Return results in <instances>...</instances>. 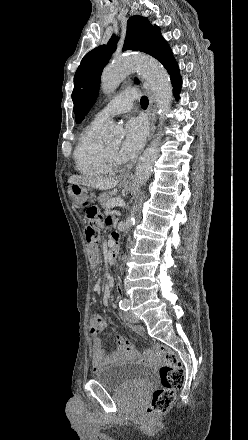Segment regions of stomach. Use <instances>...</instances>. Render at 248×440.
I'll use <instances>...</instances> for the list:
<instances>
[{"instance_id":"0dacf381","label":"stomach","mask_w":248,"mask_h":440,"mask_svg":"<svg viewBox=\"0 0 248 440\" xmlns=\"http://www.w3.org/2000/svg\"><path fill=\"white\" fill-rule=\"evenodd\" d=\"M121 186L127 190H130L132 183L130 180L124 178L121 181ZM68 194L75 207H82L94 200V193L92 189L88 186L81 185L78 183H70L68 186Z\"/></svg>"}]
</instances>
